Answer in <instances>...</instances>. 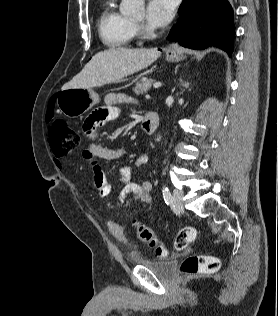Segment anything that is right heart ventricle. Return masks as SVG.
Instances as JSON below:
<instances>
[{"mask_svg":"<svg viewBox=\"0 0 278 316\" xmlns=\"http://www.w3.org/2000/svg\"><path fill=\"white\" fill-rule=\"evenodd\" d=\"M98 31L103 44L110 48L129 45L135 33L133 22L116 9L115 0L104 1Z\"/></svg>","mask_w":278,"mask_h":316,"instance_id":"e07e8e85","label":"right heart ventricle"}]
</instances>
